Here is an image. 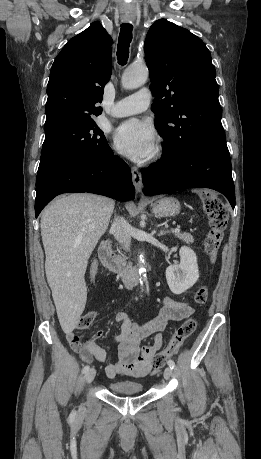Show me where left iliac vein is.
<instances>
[{
  "label": "left iliac vein",
  "mask_w": 261,
  "mask_h": 459,
  "mask_svg": "<svg viewBox=\"0 0 261 459\" xmlns=\"http://www.w3.org/2000/svg\"><path fill=\"white\" fill-rule=\"evenodd\" d=\"M173 375L172 369L170 367L165 368L164 370V378L169 380Z\"/></svg>",
  "instance_id": "4c4485c4"
}]
</instances>
